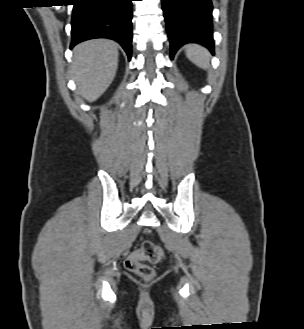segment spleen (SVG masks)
Listing matches in <instances>:
<instances>
[{
    "label": "spleen",
    "mask_w": 304,
    "mask_h": 329,
    "mask_svg": "<svg viewBox=\"0 0 304 329\" xmlns=\"http://www.w3.org/2000/svg\"><path fill=\"white\" fill-rule=\"evenodd\" d=\"M186 56L198 67L207 69L209 62V54L205 48L195 44L187 45Z\"/></svg>",
    "instance_id": "1"
}]
</instances>
